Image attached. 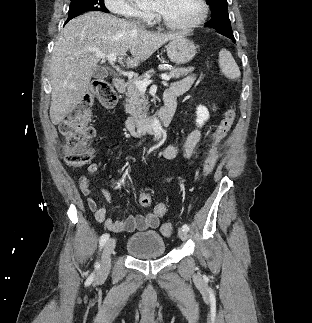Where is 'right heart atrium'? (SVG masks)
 I'll return each instance as SVG.
<instances>
[{
  "label": "right heart atrium",
  "instance_id": "d8ad5b80",
  "mask_svg": "<svg viewBox=\"0 0 312 323\" xmlns=\"http://www.w3.org/2000/svg\"><path fill=\"white\" fill-rule=\"evenodd\" d=\"M107 13H121L126 22H142L145 10L141 6H135L134 2L127 0H107Z\"/></svg>",
  "mask_w": 312,
  "mask_h": 323
}]
</instances>
